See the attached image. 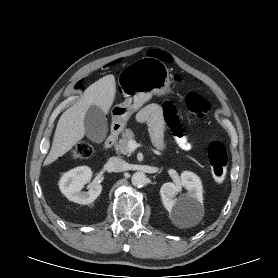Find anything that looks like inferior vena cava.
I'll use <instances>...</instances> for the list:
<instances>
[{"mask_svg": "<svg viewBox=\"0 0 278 278\" xmlns=\"http://www.w3.org/2000/svg\"><path fill=\"white\" fill-rule=\"evenodd\" d=\"M109 169L114 172H122L125 171L127 168V163L117 157H111L108 161Z\"/></svg>", "mask_w": 278, "mask_h": 278, "instance_id": "602c4592", "label": "inferior vena cava"}]
</instances>
